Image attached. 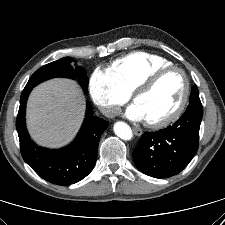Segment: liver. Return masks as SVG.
Segmentation results:
<instances>
[{
    "label": "liver",
    "mask_w": 225,
    "mask_h": 225,
    "mask_svg": "<svg viewBox=\"0 0 225 225\" xmlns=\"http://www.w3.org/2000/svg\"><path fill=\"white\" fill-rule=\"evenodd\" d=\"M85 98L73 80L55 78L36 86L27 102V127L39 145L58 148L77 134L85 113Z\"/></svg>",
    "instance_id": "6515ba94"
}]
</instances>
